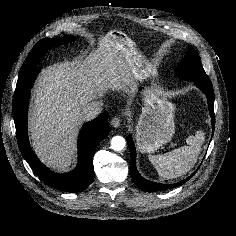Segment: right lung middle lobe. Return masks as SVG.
<instances>
[{
    "instance_id": "obj_1",
    "label": "right lung middle lobe",
    "mask_w": 236,
    "mask_h": 236,
    "mask_svg": "<svg viewBox=\"0 0 236 236\" xmlns=\"http://www.w3.org/2000/svg\"><path fill=\"white\" fill-rule=\"evenodd\" d=\"M75 40L74 37L72 36H65V37H61V38H56V39H50V38H46V39H42L40 40L31 50V52L29 53V55L27 56L25 62L22 65V68L20 70V73L36 66L41 58L43 57L44 53L53 46H57V45H63L66 44L68 42H71Z\"/></svg>"
}]
</instances>
